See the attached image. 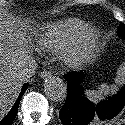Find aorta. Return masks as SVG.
Returning <instances> with one entry per match:
<instances>
[{
	"instance_id": "1",
	"label": "aorta",
	"mask_w": 125,
	"mask_h": 125,
	"mask_svg": "<svg viewBox=\"0 0 125 125\" xmlns=\"http://www.w3.org/2000/svg\"><path fill=\"white\" fill-rule=\"evenodd\" d=\"M44 91L52 101H62L67 96V85L61 78L50 77L44 83Z\"/></svg>"
}]
</instances>
